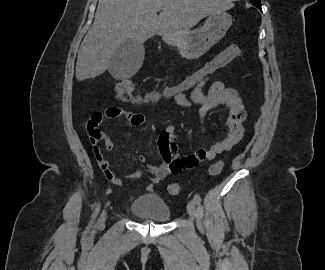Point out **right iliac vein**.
<instances>
[{"label":"right iliac vein","mask_w":325,"mask_h":270,"mask_svg":"<svg viewBox=\"0 0 325 270\" xmlns=\"http://www.w3.org/2000/svg\"><path fill=\"white\" fill-rule=\"evenodd\" d=\"M105 219H106V212L104 211V212L101 214L98 223H99V224L104 223Z\"/></svg>","instance_id":"right-iliac-vein-1"}]
</instances>
